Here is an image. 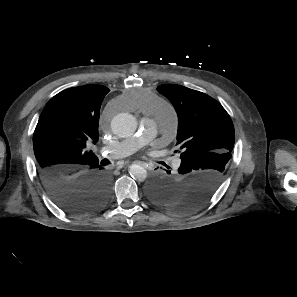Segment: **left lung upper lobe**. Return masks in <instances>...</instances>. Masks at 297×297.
<instances>
[{
	"mask_svg": "<svg viewBox=\"0 0 297 297\" xmlns=\"http://www.w3.org/2000/svg\"><path fill=\"white\" fill-rule=\"evenodd\" d=\"M157 90L170 100L178 115L179 150L175 152H181L180 167L184 172L171 175V191L150 193L149 197L164 209L194 210L209 200L221 184L234 146V126L222 105L207 94L173 84L160 85ZM203 177L212 182L210 191H201L207 182L202 181Z\"/></svg>",
	"mask_w": 297,
	"mask_h": 297,
	"instance_id": "left-lung-upper-lobe-1",
	"label": "left lung upper lobe"
}]
</instances>
